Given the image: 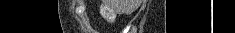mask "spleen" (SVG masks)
Returning a JSON list of instances; mask_svg holds the SVG:
<instances>
[{
    "instance_id": "spleen-1",
    "label": "spleen",
    "mask_w": 235,
    "mask_h": 33,
    "mask_svg": "<svg viewBox=\"0 0 235 33\" xmlns=\"http://www.w3.org/2000/svg\"><path fill=\"white\" fill-rule=\"evenodd\" d=\"M130 9H131V8H130L129 4L124 7V10H126V11H129Z\"/></svg>"
}]
</instances>
